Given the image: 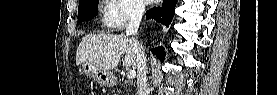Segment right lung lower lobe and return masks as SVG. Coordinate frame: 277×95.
<instances>
[{
  "mask_svg": "<svg viewBox=\"0 0 277 95\" xmlns=\"http://www.w3.org/2000/svg\"><path fill=\"white\" fill-rule=\"evenodd\" d=\"M176 5V0H164L162 6L154 7L146 12V18H153L157 22L164 25H169L172 21L174 15V9ZM152 53L155 54L161 61H164V48L156 47L151 49Z\"/></svg>",
  "mask_w": 277,
  "mask_h": 95,
  "instance_id": "right-lung-lower-lobe-1",
  "label": "right lung lower lobe"
}]
</instances>
